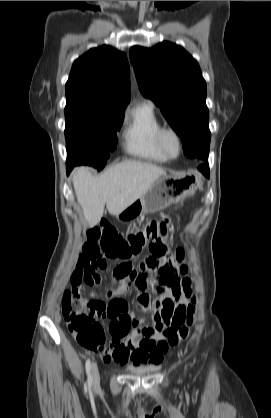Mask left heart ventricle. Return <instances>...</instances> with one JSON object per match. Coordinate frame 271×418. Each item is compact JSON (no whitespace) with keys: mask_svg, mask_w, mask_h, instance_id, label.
<instances>
[{"mask_svg":"<svg viewBox=\"0 0 271 418\" xmlns=\"http://www.w3.org/2000/svg\"><path fill=\"white\" fill-rule=\"evenodd\" d=\"M164 143H165V146H166L167 150L170 153L174 154L176 152V150H177V144H176V140L174 139L173 136L167 135L165 137Z\"/></svg>","mask_w":271,"mask_h":418,"instance_id":"b2bd125f","label":"left heart ventricle"}]
</instances>
